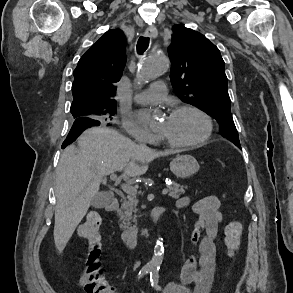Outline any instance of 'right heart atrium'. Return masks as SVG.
I'll use <instances>...</instances> for the list:
<instances>
[{"mask_svg": "<svg viewBox=\"0 0 293 293\" xmlns=\"http://www.w3.org/2000/svg\"><path fill=\"white\" fill-rule=\"evenodd\" d=\"M121 125L124 131L133 138L149 143L155 140V138L148 131L137 125L127 114H123Z\"/></svg>", "mask_w": 293, "mask_h": 293, "instance_id": "1", "label": "right heart atrium"}]
</instances>
